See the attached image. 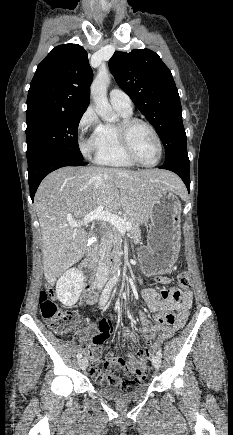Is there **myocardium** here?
I'll use <instances>...</instances> for the list:
<instances>
[{
  "instance_id": "obj_1",
  "label": "myocardium",
  "mask_w": 233,
  "mask_h": 435,
  "mask_svg": "<svg viewBox=\"0 0 233 435\" xmlns=\"http://www.w3.org/2000/svg\"><path fill=\"white\" fill-rule=\"evenodd\" d=\"M138 124L144 125L145 127H147L150 130V132L153 135L155 142L157 144L158 158H157L156 162H154L152 164H145V163L141 162L138 159V157L135 154V151L133 149V146L131 143V131ZM117 133H118V137H119V140L121 143V147H122L126 157L132 163H134L137 166L144 167V168H153L159 164V162L162 159L163 148H162V143H161V139L158 135V132L151 123H149L148 121L141 119V118H135V117L125 118V119H122L117 124Z\"/></svg>"
}]
</instances>
